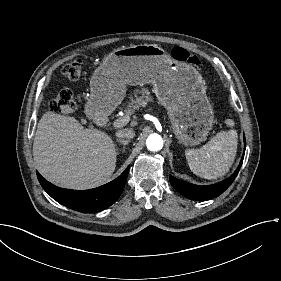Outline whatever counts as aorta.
<instances>
[{"label": "aorta", "mask_w": 281, "mask_h": 281, "mask_svg": "<svg viewBox=\"0 0 281 281\" xmlns=\"http://www.w3.org/2000/svg\"><path fill=\"white\" fill-rule=\"evenodd\" d=\"M146 145L150 151H159L163 148V139L158 134H151L146 140Z\"/></svg>", "instance_id": "aorta-1"}]
</instances>
